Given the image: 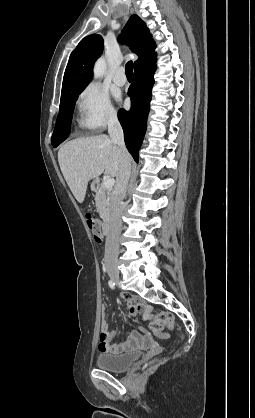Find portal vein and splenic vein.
I'll use <instances>...</instances> for the list:
<instances>
[{
	"mask_svg": "<svg viewBox=\"0 0 255 418\" xmlns=\"http://www.w3.org/2000/svg\"><path fill=\"white\" fill-rule=\"evenodd\" d=\"M114 183H115L114 178H113V177H108V178H106V179L104 180V182H103V186H104L106 189H109V188H112V187L114 186Z\"/></svg>",
	"mask_w": 255,
	"mask_h": 418,
	"instance_id": "portal-vein-and-splenic-vein-1",
	"label": "portal vein and splenic vein"
}]
</instances>
